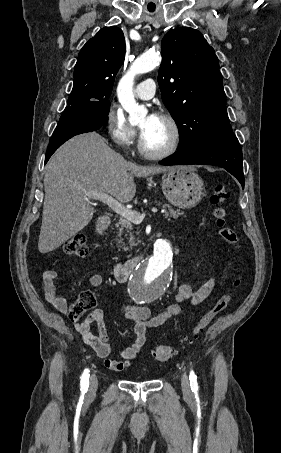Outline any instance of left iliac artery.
I'll use <instances>...</instances> for the list:
<instances>
[{
	"mask_svg": "<svg viewBox=\"0 0 281 453\" xmlns=\"http://www.w3.org/2000/svg\"><path fill=\"white\" fill-rule=\"evenodd\" d=\"M189 380H190L191 390L197 391L198 390L197 376L194 374L193 371L190 372Z\"/></svg>",
	"mask_w": 281,
	"mask_h": 453,
	"instance_id": "44dca946",
	"label": "left iliac artery"
}]
</instances>
